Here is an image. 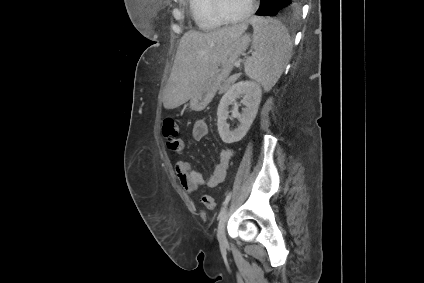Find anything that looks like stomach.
Instances as JSON below:
<instances>
[{"label":"stomach","mask_w":424,"mask_h":283,"mask_svg":"<svg viewBox=\"0 0 424 283\" xmlns=\"http://www.w3.org/2000/svg\"><path fill=\"white\" fill-rule=\"evenodd\" d=\"M250 41V35L243 34L229 44L223 56L190 99L191 109L201 111L209 104L221 84L230 75L238 57L248 48Z\"/></svg>","instance_id":"1"}]
</instances>
